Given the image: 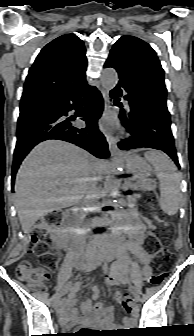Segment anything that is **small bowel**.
<instances>
[{
  "mask_svg": "<svg viewBox=\"0 0 194 336\" xmlns=\"http://www.w3.org/2000/svg\"><path fill=\"white\" fill-rule=\"evenodd\" d=\"M126 239L121 240L114 255L116 261L112 265L109 274L104 278L106 285H122L126 284L129 279L135 284H140L142 280L149 278L152 275L151 262L152 259L144 247L146 237V229L140 221L135 211H130L128 214V228ZM127 251H130L142 264V268L138 269L136 264L128 256ZM78 267L86 272L87 268L82 265ZM75 295V293H74ZM100 296V288H93L92 300H86L81 305L83 318L79 319L74 309V296L67 300L61 307V320L66 325H75L79 322L93 325H112L114 320V307L104 306L101 302H94ZM115 299L122 300V295L116 292ZM125 325H131L132 319L126 318Z\"/></svg>",
  "mask_w": 194,
  "mask_h": 336,
  "instance_id": "obj_1",
  "label": "small bowel"
}]
</instances>
